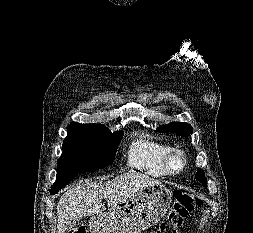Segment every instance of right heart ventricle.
Here are the masks:
<instances>
[{
  "mask_svg": "<svg viewBox=\"0 0 253 233\" xmlns=\"http://www.w3.org/2000/svg\"><path fill=\"white\" fill-rule=\"evenodd\" d=\"M170 153V148L148 136L136 138L128 146L126 151L127 165L139 172L154 177L167 174L165 159Z\"/></svg>",
  "mask_w": 253,
  "mask_h": 233,
  "instance_id": "obj_1",
  "label": "right heart ventricle"
}]
</instances>
